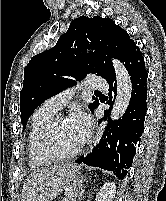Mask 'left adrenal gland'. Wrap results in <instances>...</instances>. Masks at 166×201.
Wrapping results in <instances>:
<instances>
[{
  "instance_id": "a2214340",
  "label": "left adrenal gland",
  "mask_w": 166,
  "mask_h": 201,
  "mask_svg": "<svg viewBox=\"0 0 166 201\" xmlns=\"http://www.w3.org/2000/svg\"><path fill=\"white\" fill-rule=\"evenodd\" d=\"M85 182V178H81L78 180V185H79V189L80 191L78 192L79 193V197L78 199L80 200L81 197H82V194L84 193V186H83V183Z\"/></svg>"
}]
</instances>
